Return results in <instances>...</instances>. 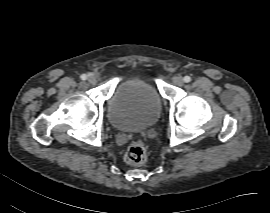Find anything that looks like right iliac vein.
Returning <instances> with one entry per match:
<instances>
[{
	"mask_svg": "<svg viewBox=\"0 0 270 213\" xmlns=\"http://www.w3.org/2000/svg\"><path fill=\"white\" fill-rule=\"evenodd\" d=\"M88 82L92 85H95L97 83V78L94 75L89 76Z\"/></svg>",
	"mask_w": 270,
	"mask_h": 213,
	"instance_id": "1",
	"label": "right iliac vein"
}]
</instances>
